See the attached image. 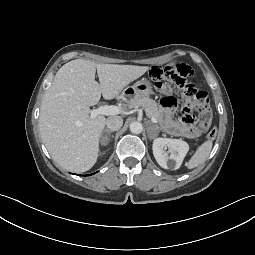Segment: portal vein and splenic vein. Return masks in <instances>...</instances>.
I'll return each mask as SVG.
<instances>
[{
  "label": "portal vein and splenic vein",
  "instance_id": "portal-vein-and-splenic-vein-1",
  "mask_svg": "<svg viewBox=\"0 0 255 255\" xmlns=\"http://www.w3.org/2000/svg\"><path fill=\"white\" fill-rule=\"evenodd\" d=\"M124 110L120 106L115 105H106V106H99L97 109L90 110V117L95 118L98 115H117L120 113H123ZM151 121L153 123H157V119L154 117H151Z\"/></svg>",
  "mask_w": 255,
  "mask_h": 255
}]
</instances>
